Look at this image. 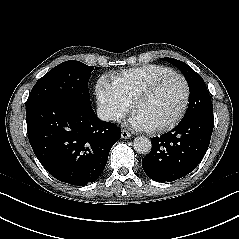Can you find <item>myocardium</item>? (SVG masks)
<instances>
[{
	"mask_svg": "<svg viewBox=\"0 0 239 239\" xmlns=\"http://www.w3.org/2000/svg\"><path fill=\"white\" fill-rule=\"evenodd\" d=\"M178 77L183 81L184 87H185V96H184V101H183V105L181 107L180 112L178 113V115L170 122H168L167 124L158 126V127H151L148 130L152 133H164V132H168L170 130H172L174 127H176L185 117L188 107H189V103H190V96H191V89H190V85L188 83V80L186 79V77L177 72V71H169L166 72L158 77H156L154 80H152L151 82H149L145 87H143L133 98L132 102H131V111L134 113L136 107L143 102L144 100H146L147 98H149L157 89V87L161 84V82H163L165 79L169 78V77Z\"/></svg>",
	"mask_w": 239,
	"mask_h": 239,
	"instance_id": "obj_1",
	"label": "myocardium"
}]
</instances>
